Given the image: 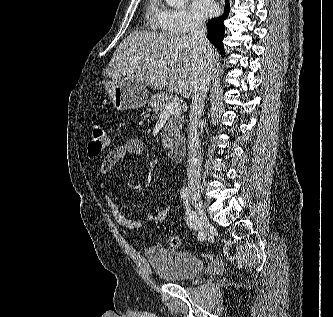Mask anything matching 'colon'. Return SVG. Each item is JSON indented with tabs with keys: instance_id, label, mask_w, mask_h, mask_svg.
<instances>
[{
	"instance_id": "5ec220e1",
	"label": "colon",
	"mask_w": 333,
	"mask_h": 317,
	"mask_svg": "<svg viewBox=\"0 0 333 317\" xmlns=\"http://www.w3.org/2000/svg\"><path fill=\"white\" fill-rule=\"evenodd\" d=\"M110 143L111 140L108 133L100 126H93L91 129V137L87 145L88 153L91 156H98L110 146ZM153 214V223H163L171 218L172 207L170 204H166L158 208ZM168 244L172 248H180L182 242L178 236L172 235L168 239Z\"/></svg>"
}]
</instances>
